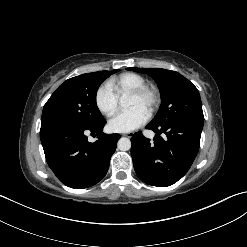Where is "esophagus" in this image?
<instances>
[{"instance_id":"obj_1","label":"esophagus","mask_w":247,"mask_h":247,"mask_svg":"<svg viewBox=\"0 0 247 247\" xmlns=\"http://www.w3.org/2000/svg\"><path fill=\"white\" fill-rule=\"evenodd\" d=\"M123 136H126V137H131L132 136V134H130V133H127V134H123Z\"/></svg>"}]
</instances>
